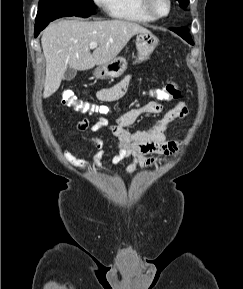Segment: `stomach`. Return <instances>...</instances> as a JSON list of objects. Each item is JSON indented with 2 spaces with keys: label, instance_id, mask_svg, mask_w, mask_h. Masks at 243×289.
<instances>
[{
  "label": "stomach",
  "instance_id": "obj_1",
  "mask_svg": "<svg viewBox=\"0 0 243 289\" xmlns=\"http://www.w3.org/2000/svg\"><path fill=\"white\" fill-rule=\"evenodd\" d=\"M158 43V38L150 31L138 33L136 36V62L140 63L149 59ZM126 69V59L124 57H115L108 63L99 65L95 69L94 75L100 79L116 78L121 76Z\"/></svg>",
  "mask_w": 243,
  "mask_h": 289
}]
</instances>
